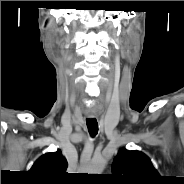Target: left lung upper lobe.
Returning <instances> with one entry per match:
<instances>
[{
    "mask_svg": "<svg viewBox=\"0 0 184 184\" xmlns=\"http://www.w3.org/2000/svg\"><path fill=\"white\" fill-rule=\"evenodd\" d=\"M111 170L112 180L117 184H157L160 176L150 159L137 150L122 149Z\"/></svg>",
    "mask_w": 184,
    "mask_h": 184,
    "instance_id": "1",
    "label": "left lung upper lobe"
}]
</instances>
